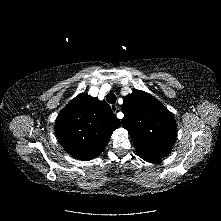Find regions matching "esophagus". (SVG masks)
Returning <instances> with one entry per match:
<instances>
[{"instance_id":"1","label":"esophagus","mask_w":221,"mask_h":221,"mask_svg":"<svg viewBox=\"0 0 221 221\" xmlns=\"http://www.w3.org/2000/svg\"><path fill=\"white\" fill-rule=\"evenodd\" d=\"M110 107L114 113H116L119 110V107L116 104H112V105H110Z\"/></svg>"}]
</instances>
